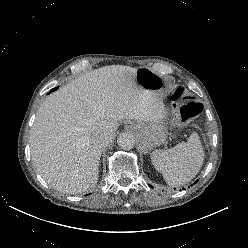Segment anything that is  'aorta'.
I'll return each mask as SVG.
<instances>
[{
  "label": "aorta",
  "instance_id": "aorta-1",
  "mask_svg": "<svg viewBox=\"0 0 248 248\" xmlns=\"http://www.w3.org/2000/svg\"><path fill=\"white\" fill-rule=\"evenodd\" d=\"M117 143L121 149L130 150L135 145V139L128 133H122L119 135Z\"/></svg>",
  "mask_w": 248,
  "mask_h": 248
}]
</instances>
